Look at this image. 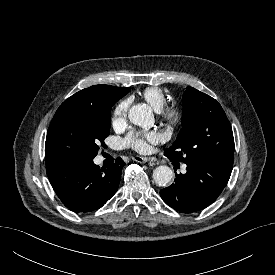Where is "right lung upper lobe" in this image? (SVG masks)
Masks as SVG:
<instances>
[{
    "instance_id": "obj_1",
    "label": "right lung upper lobe",
    "mask_w": 275,
    "mask_h": 275,
    "mask_svg": "<svg viewBox=\"0 0 275 275\" xmlns=\"http://www.w3.org/2000/svg\"><path fill=\"white\" fill-rule=\"evenodd\" d=\"M130 91V88L114 87L110 85H94L83 89L66 99L55 113V116L78 111L84 108H101L114 101H118Z\"/></svg>"
}]
</instances>
